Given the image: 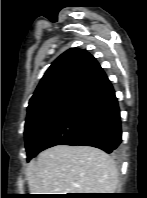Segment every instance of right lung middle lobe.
<instances>
[{
	"label": "right lung middle lobe",
	"mask_w": 147,
	"mask_h": 198,
	"mask_svg": "<svg viewBox=\"0 0 147 198\" xmlns=\"http://www.w3.org/2000/svg\"><path fill=\"white\" fill-rule=\"evenodd\" d=\"M74 104L69 102L52 103L27 114L24 131L27 160L36 155L37 147L41 141L60 122Z\"/></svg>",
	"instance_id": "dd1d6c3e"
}]
</instances>
